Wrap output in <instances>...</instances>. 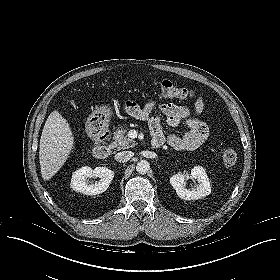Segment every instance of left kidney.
Instances as JSON below:
<instances>
[{"instance_id": "5707ae66", "label": "left kidney", "mask_w": 280, "mask_h": 280, "mask_svg": "<svg viewBox=\"0 0 280 280\" xmlns=\"http://www.w3.org/2000/svg\"><path fill=\"white\" fill-rule=\"evenodd\" d=\"M186 174L178 173L170 178V184L175 189L177 195L184 200H197L206 197L211 193V185L205 169L196 166L191 170L190 178L196 180L198 184L187 189L185 185Z\"/></svg>"}]
</instances>
